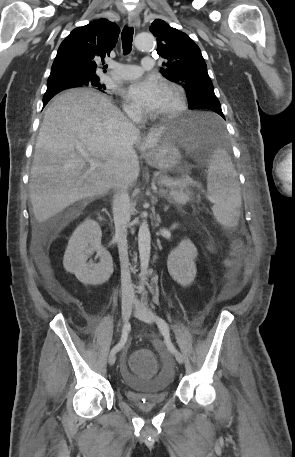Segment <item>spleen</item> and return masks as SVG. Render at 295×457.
<instances>
[{"mask_svg": "<svg viewBox=\"0 0 295 457\" xmlns=\"http://www.w3.org/2000/svg\"><path fill=\"white\" fill-rule=\"evenodd\" d=\"M207 168V192L213 203V215L222 226L234 227L238 223L242 198L231 158L225 150L217 148L210 155Z\"/></svg>", "mask_w": 295, "mask_h": 457, "instance_id": "3e777b00", "label": "spleen"}]
</instances>
